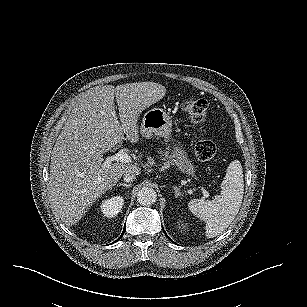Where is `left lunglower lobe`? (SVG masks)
Returning <instances> with one entry per match:
<instances>
[{
    "mask_svg": "<svg viewBox=\"0 0 307 307\" xmlns=\"http://www.w3.org/2000/svg\"><path fill=\"white\" fill-rule=\"evenodd\" d=\"M163 232L165 233V235L168 237V239H170L169 238V236L166 234V232L163 230ZM170 241H172L171 239H170ZM173 242V241H172ZM174 243V242H173Z\"/></svg>",
    "mask_w": 307,
    "mask_h": 307,
    "instance_id": "obj_1",
    "label": "left lung lower lobe"
}]
</instances>
